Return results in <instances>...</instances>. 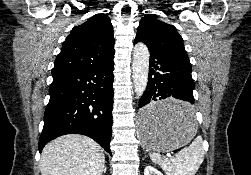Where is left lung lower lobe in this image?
Segmentation results:
<instances>
[{
  "label": "left lung lower lobe",
  "instance_id": "obj_1",
  "mask_svg": "<svg viewBox=\"0 0 251 175\" xmlns=\"http://www.w3.org/2000/svg\"><path fill=\"white\" fill-rule=\"evenodd\" d=\"M142 42L135 39L134 43ZM150 50L149 77L145 92L139 100V122L144 126L166 123L186 122L194 118L191 64L165 54L159 50ZM174 97L186 101L185 104L157 106L155 101Z\"/></svg>",
  "mask_w": 251,
  "mask_h": 175
}]
</instances>
